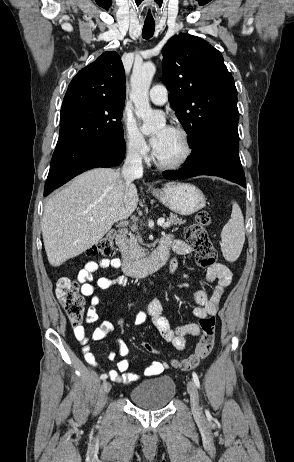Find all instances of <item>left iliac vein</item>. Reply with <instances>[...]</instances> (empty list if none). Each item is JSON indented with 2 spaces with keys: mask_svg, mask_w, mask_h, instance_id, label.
<instances>
[{
  "mask_svg": "<svg viewBox=\"0 0 294 462\" xmlns=\"http://www.w3.org/2000/svg\"><path fill=\"white\" fill-rule=\"evenodd\" d=\"M187 390H188V393L190 395L192 411L195 414L201 413V408H200V405H199L198 391H197V388H196L193 381L190 380L187 383Z\"/></svg>",
  "mask_w": 294,
  "mask_h": 462,
  "instance_id": "4c4485c4",
  "label": "left iliac vein"
}]
</instances>
